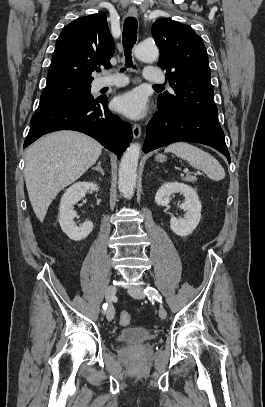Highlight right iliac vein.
<instances>
[{
  "mask_svg": "<svg viewBox=\"0 0 265 407\" xmlns=\"http://www.w3.org/2000/svg\"><path fill=\"white\" fill-rule=\"evenodd\" d=\"M115 294H116V286L110 285L106 290V300L109 303L107 310H106V316L109 321H111L115 315V310L111 304V300L113 299Z\"/></svg>",
  "mask_w": 265,
  "mask_h": 407,
  "instance_id": "obj_1",
  "label": "right iliac vein"
}]
</instances>
